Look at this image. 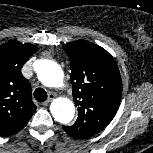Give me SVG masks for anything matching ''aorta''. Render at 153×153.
Masks as SVG:
<instances>
[{
    "instance_id": "1",
    "label": "aorta",
    "mask_w": 153,
    "mask_h": 153,
    "mask_svg": "<svg viewBox=\"0 0 153 153\" xmlns=\"http://www.w3.org/2000/svg\"><path fill=\"white\" fill-rule=\"evenodd\" d=\"M37 74L43 85L51 88L60 87L63 84L64 74L61 67L52 60H41L37 66ZM50 111L60 123H69L75 114V107L68 98H57L50 106Z\"/></svg>"
}]
</instances>
